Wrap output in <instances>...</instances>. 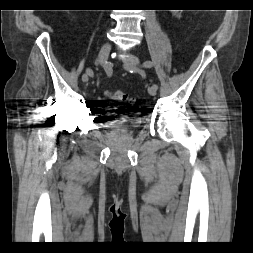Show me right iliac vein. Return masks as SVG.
<instances>
[{
	"label": "right iliac vein",
	"instance_id": "right-iliac-vein-1",
	"mask_svg": "<svg viewBox=\"0 0 253 253\" xmlns=\"http://www.w3.org/2000/svg\"><path fill=\"white\" fill-rule=\"evenodd\" d=\"M110 51H111V44L108 43V42L104 43L102 45L101 49H100L99 58H98V61H99V63L101 65H103V64L106 63ZM88 78H89V75H87L86 73H84L83 76H82V81L83 82H87Z\"/></svg>",
	"mask_w": 253,
	"mask_h": 253
}]
</instances>
